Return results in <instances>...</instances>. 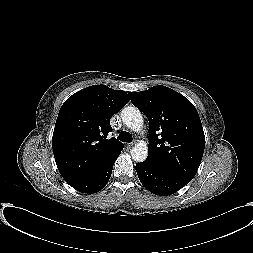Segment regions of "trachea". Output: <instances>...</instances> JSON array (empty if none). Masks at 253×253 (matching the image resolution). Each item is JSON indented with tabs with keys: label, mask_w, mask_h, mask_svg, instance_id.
<instances>
[{
	"label": "trachea",
	"mask_w": 253,
	"mask_h": 253,
	"mask_svg": "<svg viewBox=\"0 0 253 253\" xmlns=\"http://www.w3.org/2000/svg\"><path fill=\"white\" fill-rule=\"evenodd\" d=\"M118 139L122 142H131L133 140L132 135L126 131H122L119 134Z\"/></svg>",
	"instance_id": "3493384b"
}]
</instances>
